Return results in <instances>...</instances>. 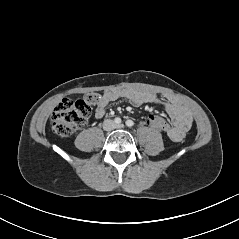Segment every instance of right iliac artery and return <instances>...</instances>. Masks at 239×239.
I'll list each match as a JSON object with an SVG mask.
<instances>
[{"label": "right iliac artery", "instance_id": "obj_1", "mask_svg": "<svg viewBox=\"0 0 239 239\" xmlns=\"http://www.w3.org/2000/svg\"><path fill=\"white\" fill-rule=\"evenodd\" d=\"M114 122H115L116 124H120V123H121V119H120L119 117H116V118L114 119Z\"/></svg>", "mask_w": 239, "mask_h": 239}]
</instances>
